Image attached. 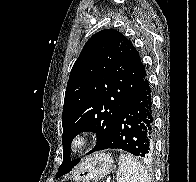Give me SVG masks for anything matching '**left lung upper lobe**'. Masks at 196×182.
Returning <instances> with one entry per match:
<instances>
[{
    "label": "left lung upper lobe",
    "mask_w": 196,
    "mask_h": 182,
    "mask_svg": "<svg viewBox=\"0 0 196 182\" xmlns=\"http://www.w3.org/2000/svg\"><path fill=\"white\" fill-rule=\"evenodd\" d=\"M145 78L139 52L122 33L105 29L87 41L73 65L65 92L64 154L56 178L69 172L79 160L66 161L73 138L84 131L95 132L97 143L93 149L99 147L109 135L118 113Z\"/></svg>",
    "instance_id": "obj_1"
}]
</instances>
